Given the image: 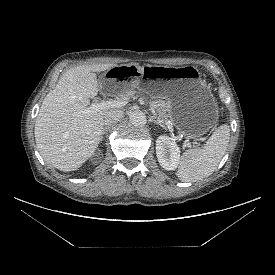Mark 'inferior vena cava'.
Masks as SVG:
<instances>
[{
    "mask_svg": "<svg viewBox=\"0 0 275 275\" xmlns=\"http://www.w3.org/2000/svg\"><path fill=\"white\" fill-rule=\"evenodd\" d=\"M123 117V113L120 110H109L104 116V124L111 126L116 124Z\"/></svg>",
    "mask_w": 275,
    "mask_h": 275,
    "instance_id": "602c4592",
    "label": "inferior vena cava"
}]
</instances>
